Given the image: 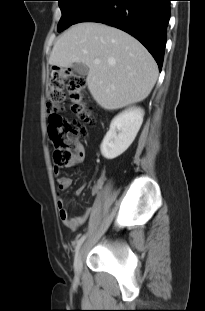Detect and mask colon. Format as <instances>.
Here are the masks:
<instances>
[{
    "label": "colon",
    "mask_w": 205,
    "mask_h": 311,
    "mask_svg": "<svg viewBox=\"0 0 205 311\" xmlns=\"http://www.w3.org/2000/svg\"><path fill=\"white\" fill-rule=\"evenodd\" d=\"M86 81L82 76L63 69H52L50 72L46 111L49 136L54 146L53 159L57 166H65L72 159L73 152L80 146L87 135L84 121L94 125V112L85 102ZM70 100V110L80 120L69 119L61 114V105Z\"/></svg>",
    "instance_id": "1"
}]
</instances>
